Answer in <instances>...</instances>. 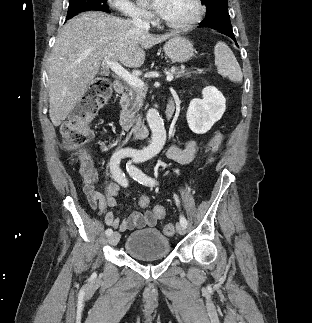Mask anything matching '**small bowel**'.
<instances>
[{
    "label": "small bowel",
    "mask_w": 312,
    "mask_h": 323,
    "mask_svg": "<svg viewBox=\"0 0 312 323\" xmlns=\"http://www.w3.org/2000/svg\"><path fill=\"white\" fill-rule=\"evenodd\" d=\"M195 142L188 141L184 147L176 145L169 146L166 150V157L169 160L180 164L190 163L195 155ZM80 175L83 185V192L87 196L90 206L98 209V214L104 218L105 223L120 231H132L144 227H155L162 217L155 216V210H147L144 213L132 212L126 219L120 220L108 207L117 205L119 188L114 183L104 186L103 192L95 189V182L98 177L97 169L91 158L87 157L81 162Z\"/></svg>",
    "instance_id": "small-bowel-1"
}]
</instances>
